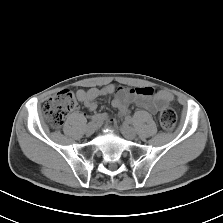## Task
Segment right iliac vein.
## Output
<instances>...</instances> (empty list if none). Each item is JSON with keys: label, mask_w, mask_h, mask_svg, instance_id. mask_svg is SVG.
I'll return each mask as SVG.
<instances>
[{"label": "right iliac vein", "mask_w": 223, "mask_h": 223, "mask_svg": "<svg viewBox=\"0 0 223 223\" xmlns=\"http://www.w3.org/2000/svg\"><path fill=\"white\" fill-rule=\"evenodd\" d=\"M96 130V125L95 123H89L87 126H86V129H85V132L87 135H92Z\"/></svg>", "instance_id": "obj_1"}]
</instances>
